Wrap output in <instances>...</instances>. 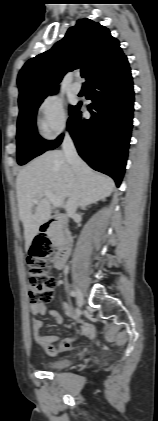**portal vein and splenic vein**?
<instances>
[{
  "label": "portal vein and splenic vein",
  "instance_id": "obj_1",
  "mask_svg": "<svg viewBox=\"0 0 158 421\" xmlns=\"http://www.w3.org/2000/svg\"><path fill=\"white\" fill-rule=\"evenodd\" d=\"M43 194L53 204L54 207L60 206V200L58 198H56V196L50 190L43 191ZM33 202L37 203V199H34Z\"/></svg>",
  "mask_w": 158,
  "mask_h": 421
}]
</instances>
